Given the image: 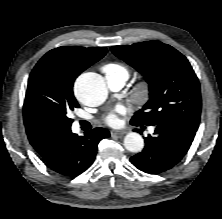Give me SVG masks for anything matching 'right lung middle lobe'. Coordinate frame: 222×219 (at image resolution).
Listing matches in <instances>:
<instances>
[{
	"label": "right lung middle lobe",
	"instance_id": "right-lung-middle-lobe-1",
	"mask_svg": "<svg viewBox=\"0 0 222 219\" xmlns=\"http://www.w3.org/2000/svg\"><path fill=\"white\" fill-rule=\"evenodd\" d=\"M56 63L40 60L32 70L23 111L37 119L70 128L67 112L78 108L73 93L59 90L53 83Z\"/></svg>",
	"mask_w": 222,
	"mask_h": 219
}]
</instances>
